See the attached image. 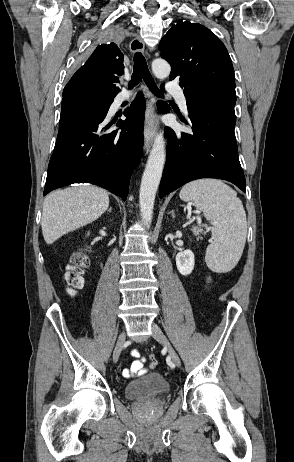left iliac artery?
I'll return each instance as SVG.
<instances>
[{
    "instance_id": "obj_1",
    "label": "left iliac artery",
    "mask_w": 294,
    "mask_h": 462,
    "mask_svg": "<svg viewBox=\"0 0 294 462\" xmlns=\"http://www.w3.org/2000/svg\"><path fill=\"white\" fill-rule=\"evenodd\" d=\"M171 359H172V356H171V355H168L167 358H166V363H167V365H169L171 368H174L175 365L173 364V362H172Z\"/></svg>"
}]
</instances>
